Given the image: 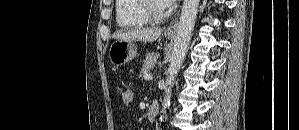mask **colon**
<instances>
[{
    "instance_id": "1",
    "label": "colon",
    "mask_w": 299,
    "mask_h": 130,
    "mask_svg": "<svg viewBox=\"0 0 299 130\" xmlns=\"http://www.w3.org/2000/svg\"><path fill=\"white\" fill-rule=\"evenodd\" d=\"M134 99V91L126 87L121 93V100L124 105H130Z\"/></svg>"
}]
</instances>
